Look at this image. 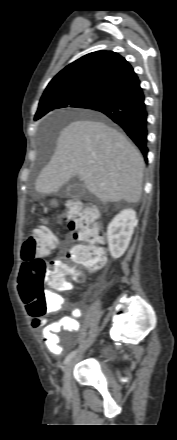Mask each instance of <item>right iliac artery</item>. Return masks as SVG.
I'll list each match as a JSON object with an SVG mask.
<instances>
[{
    "instance_id": "obj_1",
    "label": "right iliac artery",
    "mask_w": 177,
    "mask_h": 440,
    "mask_svg": "<svg viewBox=\"0 0 177 440\" xmlns=\"http://www.w3.org/2000/svg\"><path fill=\"white\" fill-rule=\"evenodd\" d=\"M76 352L77 351H72L69 353L64 360V364H67L75 356Z\"/></svg>"
}]
</instances>
